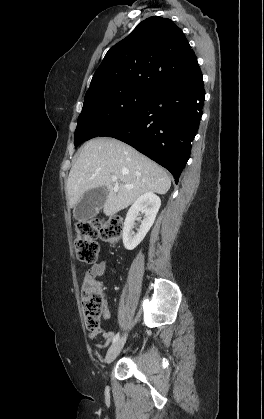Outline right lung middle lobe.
<instances>
[{"label": "right lung middle lobe", "mask_w": 264, "mask_h": 419, "mask_svg": "<svg viewBox=\"0 0 264 419\" xmlns=\"http://www.w3.org/2000/svg\"><path fill=\"white\" fill-rule=\"evenodd\" d=\"M143 88L128 87L95 91L85 95L74 134L75 147L131 116L152 94Z\"/></svg>", "instance_id": "right-lung-middle-lobe-1"}]
</instances>
